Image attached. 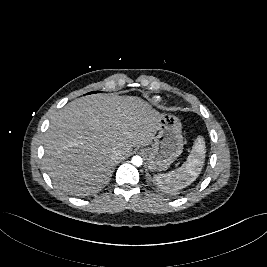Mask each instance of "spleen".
<instances>
[{
    "label": "spleen",
    "mask_w": 267,
    "mask_h": 267,
    "mask_svg": "<svg viewBox=\"0 0 267 267\" xmlns=\"http://www.w3.org/2000/svg\"><path fill=\"white\" fill-rule=\"evenodd\" d=\"M205 141L202 136L197 137L187 161L178 169L166 174L156 175L157 184L167 190H179L190 185L200 174L205 161Z\"/></svg>",
    "instance_id": "1"
}]
</instances>
